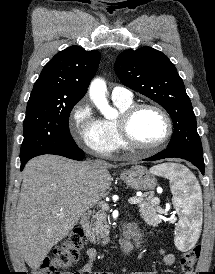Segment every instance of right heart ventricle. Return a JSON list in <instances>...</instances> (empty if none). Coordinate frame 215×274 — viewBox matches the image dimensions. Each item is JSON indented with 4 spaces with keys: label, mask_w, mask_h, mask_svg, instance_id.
Returning <instances> with one entry per match:
<instances>
[{
    "label": "right heart ventricle",
    "mask_w": 215,
    "mask_h": 274,
    "mask_svg": "<svg viewBox=\"0 0 215 274\" xmlns=\"http://www.w3.org/2000/svg\"><path fill=\"white\" fill-rule=\"evenodd\" d=\"M113 102H114V105L120 111V113L133 104L132 99L129 101L113 100ZM100 126L104 134L111 141L112 151L126 148L120 138V135L117 129V119L100 120Z\"/></svg>",
    "instance_id": "1"
}]
</instances>
